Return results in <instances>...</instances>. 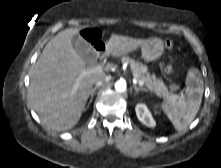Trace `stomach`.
Masks as SVG:
<instances>
[{
  "mask_svg": "<svg viewBox=\"0 0 221 168\" xmlns=\"http://www.w3.org/2000/svg\"><path fill=\"white\" fill-rule=\"evenodd\" d=\"M163 51L164 42L160 38H149L141 45V55L146 62L157 61Z\"/></svg>",
  "mask_w": 221,
  "mask_h": 168,
  "instance_id": "1",
  "label": "stomach"
}]
</instances>
